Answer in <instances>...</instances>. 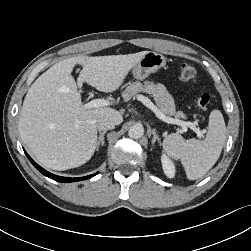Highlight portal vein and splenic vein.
Returning <instances> with one entry per match:
<instances>
[{
    "label": "portal vein and splenic vein",
    "mask_w": 251,
    "mask_h": 251,
    "mask_svg": "<svg viewBox=\"0 0 251 251\" xmlns=\"http://www.w3.org/2000/svg\"><path fill=\"white\" fill-rule=\"evenodd\" d=\"M137 99L141 101L146 107H148L150 110L154 112V114L162 121L169 123V124H176L182 127L181 132H187V127L191 128L193 131H195L197 134H201L200 130L194 126L191 122H185L179 119H174L167 117L164 113L161 112L160 109L147 97L143 95H138ZM110 105V101L106 99H93L90 102L86 103L84 105L85 108H99V107H105Z\"/></svg>",
    "instance_id": "obj_1"
}]
</instances>
